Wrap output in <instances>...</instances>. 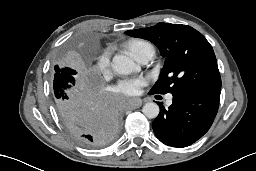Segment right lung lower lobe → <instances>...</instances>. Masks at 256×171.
I'll list each match as a JSON object with an SVG mask.
<instances>
[{"label": "right lung lower lobe", "mask_w": 256, "mask_h": 171, "mask_svg": "<svg viewBox=\"0 0 256 171\" xmlns=\"http://www.w3.org/2000/svg\"><path fill=\"white\" fill-rule=\"evenodd\" d=\"M69 133L85 147H100L117 136L121 116L117 103L99 87L84 89L75 99L57 108Z\"/></svg>", "instance_id": "right-lung-lower-lobe-1"}]
</instances>
